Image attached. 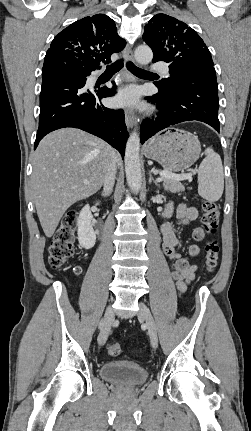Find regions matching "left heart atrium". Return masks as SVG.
Masks as SVG:
<instances>
[{"label": "left heart atrium", "instance_id": "obj_1", "mask_svg": "<svg viewBox=\"0 0 251 431\" xmlns=\"http://www.w3.org/2000/svg\"><path fill=\"white\" fill-rule=\"evenodd\" d=\"M139 93L134 88L122 90L115 99L119 106H135L138 103Z\"/></svg>", "mask_w": 251, "mask_h": 431}]
</instances>
